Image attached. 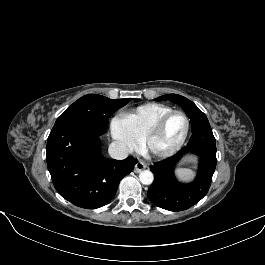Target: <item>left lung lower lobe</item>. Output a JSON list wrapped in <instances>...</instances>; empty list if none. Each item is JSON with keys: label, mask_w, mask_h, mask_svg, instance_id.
Instances as JSON below:
<instances>
[{"label": "left lung lower lobe", "mask_w": 265, "mask_h": 265, "mask_svg": "<svg viewBox=\"0 0 265 265\" xmlns=\"http://www.w3.org/2000/svg\"><path fill=\"white\" fill-rule=\"evenodd\" d=\"M193 153L199 157L198 173L189 184L177 181L174 168L181 158ZM216 168V144L210 125L192 130L186 147L174 156L150 166L154 182L147 195L156 206L169 211L186 210L198 203L208 192Z\"/></svg>", "instance_id": "left-lung-lower-lobe-1"}]
</instances>
